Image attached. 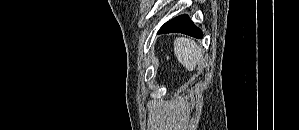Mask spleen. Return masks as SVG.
<instances>
[{"label": "spleen", "mask_w": 299, "mask_h": 130, "mask_svg": "<svg viewBox=\"0 0 299 130\" xmlns=\"http://www.w3.org/2000/svg\"><path fill=\"white\" fill-rule=\"evenodd\" d=\"M174 53L178 61L188 70L193 71L202 58V51L196 42L188 38H176Z\"/></svg>", "instance_id": "spleen-1"}]
</instances>
